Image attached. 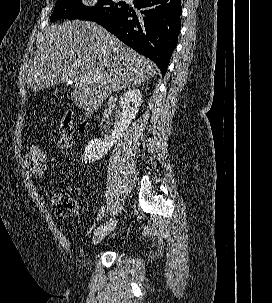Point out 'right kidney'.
<instances>
[{"instance_id":"ca27d5eb","label":"right kidney","mask_w":272,"mask_h":303,"mask_svg":"<svg viewBox=\"0 0 272 303\" xmlns=\"http://www.w3.org/2000/svg\"><path fill=\"white\" fill-rule=\"evenodd\" d=\"M141 103L142 95L139 89L128 90L120 96L119 104L122 115L114 132L103 140L93 139L88 143L83 154L85 163L95 162L107 154L116 140L127 130L132 120L135 119Z\"/></svg>"}]
</instances>
